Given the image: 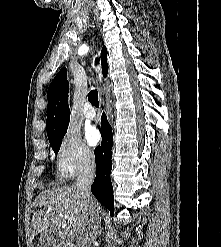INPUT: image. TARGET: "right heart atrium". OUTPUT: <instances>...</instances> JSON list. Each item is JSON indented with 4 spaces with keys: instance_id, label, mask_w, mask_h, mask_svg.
I'll use <instances>...</instances> for the list:
<instances>
[{
    "instance_id": "obj_1",
    "label": "right heart atrium",
    "mask_w": 221,
    "mask_h": 247,
    "mask_svg": "<svg viewBox=\"0 0 221 247\" xmlns=\"http://www.w3.org/2000/svg\"><path fill=\"white\" fill-rule=\"evenodd\" d=\"M93 153L78 132L70 128L60 141L56 152V173L62 179L72 178L88 169Z\"/></svg>"
}]
</instances>
